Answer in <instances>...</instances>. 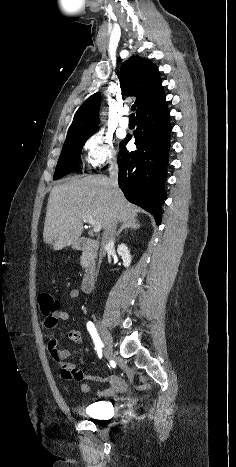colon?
Instances as JSON below:
<instances>
[{
    "label": "colon",
    "mask_w": 236,
    "mask_h": 467,
    "mask_svg": "<svg viewBox=\"0 0 236 467\" xmlns=\"http://www.w3.org/2000/svg\"><path fill=\"white\" fill-rule=\"evenodd\" d=\"M40 311L44 316H52L60 310L59 300L50 293L42 292L38 295Z\"/></svg>",
    "instance_id": "1"
}]
</instances>
